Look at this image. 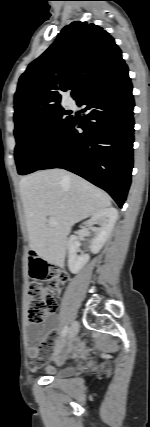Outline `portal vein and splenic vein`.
<instances>
[{"label": "portal vein and splenic vein", "mask_w": 150, "mask_h": 427, "mask_svg": "<svg viewBox=\"0 0 150 427\" xmlns=\"http://www.w3.org/2000/svg\"><path fill=\"white\" fill-rule=\"evenodd\" d=\"M48 224L50 226H53V227L57 226V220L54 217H50L49 220H48Z\"/></svg>", "instance_id": "portal-vein-and-splenic-vein-1"}]
</instances>
